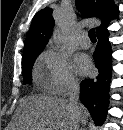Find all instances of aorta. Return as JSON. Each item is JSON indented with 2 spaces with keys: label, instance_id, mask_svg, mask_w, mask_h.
Segmentation results:
<instances>
[{
  "label": "aorta",
  "instance_id": "aorta-1",
  "mask_svg": "<svg viewBox=\"0 0 123 130\" xmlns=\"http://www.w3.org/2000/svg\"><path fill=\"white\" fill-rule=\"evenodd\" d=\"M52 40L57 49L65 45L64 33L60 28H57L56 30H54Z\"/></svg>",
  "mask_w": 123,
  "mask_h": 130
}]
</instances>
